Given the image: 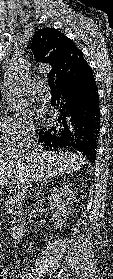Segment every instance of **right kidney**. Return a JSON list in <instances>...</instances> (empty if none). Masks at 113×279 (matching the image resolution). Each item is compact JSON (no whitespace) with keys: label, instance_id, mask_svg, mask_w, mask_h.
<instances>
[{"label":"right kidney","instance_id":"obj_1","mask_svg":"<svg viewBox=\"0 0 113 279\" xmlns=\"http://www.w3.org/2000/svg\"><path fill=\"white\" fill-rule=\"evenodd\" d=\"M73 191L69 186L55 188L48 195V203L53 210V219L55 220V228H61L67 220L72 206Z\"/></svg>","mask_w":113,"mask_h":279}]
</instances>
